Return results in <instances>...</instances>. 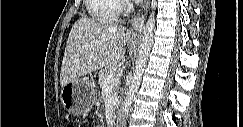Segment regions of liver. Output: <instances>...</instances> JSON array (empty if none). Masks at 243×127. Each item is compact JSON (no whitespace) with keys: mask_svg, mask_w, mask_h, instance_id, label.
<instances>
[{"mask_svg":"<svg viewBox=\"0 0 243 127\" xmlns=\"http://www.w3.org/2000/svg\"><path fill=\"white\" fill-rule=\"evenodd\" d=\"M125 28L89 18L77 20L64 52L60 84L78 80L93 71L117 64L124 58L125 45L133 42Z\"/></svg>","mask_w":243,"mask_h":127,"instance_id":"obj_1","label":"liver"}]
</instances>
